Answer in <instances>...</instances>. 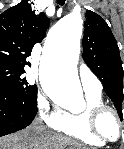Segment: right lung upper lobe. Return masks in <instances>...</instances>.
Instances as JSON below:
<instances>
[{
  "label": "right lung upper lobe",
  "mask_w": 124,
  "mask_h": 149,
  "mask_svg": "<svg viewBox=\"0 0 124 149\" xmlns=\"http://www.w3.org/2000/svg\"><path fill=\"white\" fill-rule=\"evenodd\" d=\"M28 1L0 14V66L25 71L33 46L45 36L49 19L44 13L35 15Z\"/></svg>",
  "instance_id": "obj_1"
}]
</instances>
